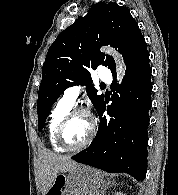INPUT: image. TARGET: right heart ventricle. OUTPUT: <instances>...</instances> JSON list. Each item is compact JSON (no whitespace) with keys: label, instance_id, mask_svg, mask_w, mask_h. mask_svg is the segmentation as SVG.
Wrapping results in <instances>:
<instances>
[{"label":"right heart ventricle","instance_id":"obj_1","mask_svg":"<svg viewBox=\"0 0 178 195\" xmlns=\"http://www.w3.org/2000/svg\"><path fill=\"white\" fill-rule=\"evenodd\" d=\"M73 105L68 104L62 98L52 108L47 124V135L51 148L56 152H63L64 149L56 142L55 134L57 127L63 117L71 110Z\"/></svg>","mask_w":178,"mask_h":195}]
</instances>
